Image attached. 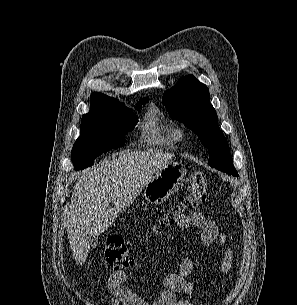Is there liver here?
Returning a JSON list of instances; mask_svg holds the SVG:
<instances>
[{"mask_svg":"<svg viewBox=\"0 0 297 305\" xmlns=\"http://www.w3.org/2000/svg\"><path fill=\"white\" fill-rule=\"evenodd\" d=\"M173 156L153 150L120 153L78 178L66 222L71 250L78 264L82 265L89 253L86 237L104 233L118 212L136 199L153 174Z\"/></svg>","mask_w":297,"mask_h":305,"instance_id":"liver-1","label":"liver"}]
</instances>
